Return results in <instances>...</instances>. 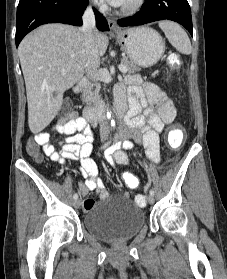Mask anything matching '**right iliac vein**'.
<instances>
[{
  "instance_id": "1",
  "label": "right iliac vein",
  "mask_w": 227,
  "mask_h": 279,
  "mask_svg": "<svg viewBox=\"0 0 227 279\" xmlns=\"http://www.w3.org/2000/svg\"><path fill=\"white\" fill-rule=\"evenodd\" d=\"M73 205H74L75 208L78 209V208L81 206V201H80V200H75V201L73 202Z\"/></svg>"
}]
</instances>
